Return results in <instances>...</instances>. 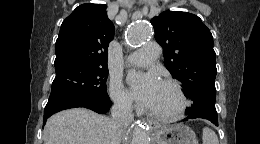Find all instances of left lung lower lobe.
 <instances>
[{"label":"left lung lower lobe","mask_w":260,"mask_h":144,"mask_svg":"<svg viewBox=\"0 0 260 144\" xmlns=\"http://www.w3.org/2000/svg\"><path fill=\"white\" fill-rule=\"evenodd\" d=\"M196 118H202V119H207L211 121L213 124L218 126V117H217V112L214 111H201L197 114L194 115H188L186 120L188 119H196Z\"/></svg>","instance_id":"left-lung-lower-lobe-1"}]
</instances>
